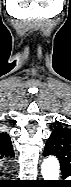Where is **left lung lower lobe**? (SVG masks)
I'll return each mask as SVG.
<instances>
[{"mask_svg":"<svg viewBox=\"0 0 71 187\" xmlns=\"http://www.w3.org/2000/svg\"><path fill=\"white\" fill-rule=\"evenodd\" d=\"M62 175H63V177H64V178H66V177L70 176L69 174L64 173V172H62Z\"/></svg>","mask_w":71,"mask_h":187,"instance_id":"1","label":"left lung lower lobe"}]
</instances>
